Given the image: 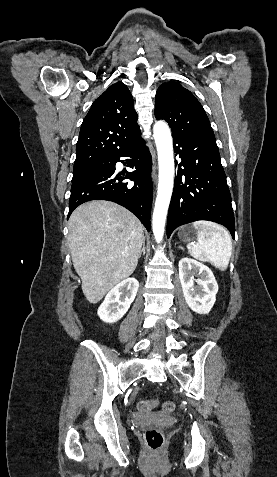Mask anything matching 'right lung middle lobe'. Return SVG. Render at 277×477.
<instances>
[{"label":"right lung middle lobe","instance_id":"1","mask_svg":"<svg viewBox=\"0 0 277 477\" xmlns=\"http://www.w3.org/2000/svg\"><path fill=\"white\" fill-rule=\"evenodd\" d=\"M97 165H94V166H88V167H82V168H74L73 170V178L72 180L80 177L81 175L91 171L92 169H94Z\"/></svg>","mask_w":277,"mask_h":477}]
</instances>
